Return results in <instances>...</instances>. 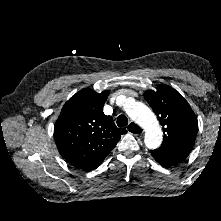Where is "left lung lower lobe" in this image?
<instances>
[{
    "mask_svg": "<svg viewBox=\"0 0 221 221\" xmlns=\"http://www.w3.org/2000/svg\"><path fill=\"white\" fill-rule=\"evenodd\" d=\"M193 145H184L174 148H158L151 150L154 159L165 167H169L184 160L191 152Z\"/></svg>",
    "mask_w": 221,
    "mask_h": 221,
    "instance_id": "1",
    "label": "left lung lower lobe"
}]
</instances>
